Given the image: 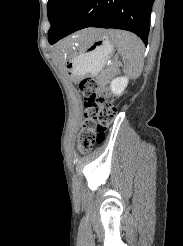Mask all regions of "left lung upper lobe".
Masks as SVG:
<instances>
[{
    "label": "left lung upper lobe",
    "instance_id": "left-lung-upper-lobe-1",
    "mask_svg": "<svg viewBox=\"0 0 183 246\" xmlns=\"http://www.w3.org/2000/svg\"><path fill=\"white\" fill-rule=\"evenodd\" d=\"M80 0H48L47 10L51 27L48 40L56 37L72 16Z\"/></svg>",
    "mask_w": 183,
    "mask_h": 246
}]
</instances>
